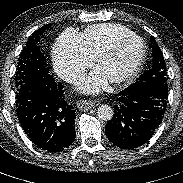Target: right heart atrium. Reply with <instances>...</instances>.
<instances>
[{
	"mask_svg": "<svg viewBox=\"0 0 183 183\" xmlns=\"http://www.w3.org/2000/svg\"><path fill=\"white\" fill-rule=\"evenodd\" d=\"M93 62L76 32L66 31L57 39L53 47V63L57 73L66 81H79Z\"/></svg>",
	"mask_w": 183,
	"mask_h": 183,
	"instance_id": "d8ad5b80",
	"label": "right heart atrium"
}]
</instances>
